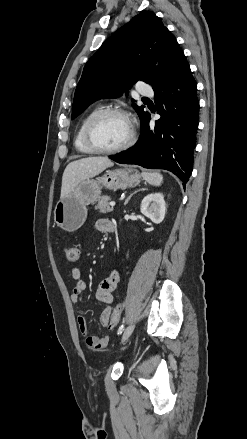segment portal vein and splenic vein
Segmentation results:
<instances>
[{
    "label": "portal vein and splenic vein",
    "mask_w": 247,
    "mask_h": 439,
    "mask_svg": "<svg viewBox=\"0 0 247 439\" xmlns=\"http://www.w3.org/2000/svg\"><path fill=\"white\" fill-rule=\"evenodd\" d=\"M109 204H110L111 207H113V206H115L116 203L114 201H112Z\"/></svg>",
    "instance_id": "obj_1"
}]
</instances>
